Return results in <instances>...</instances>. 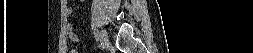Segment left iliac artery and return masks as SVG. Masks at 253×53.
<instances>
[{"instance_id": "obj_1", "label": "left iliac artery", "mask_w": 253, "mask_h": 53, "mask_svg": "<svg viewBox=\"0 0 253 53\" xmlns=\"http://www.w3.org/2000/svg\"><path fill=\"white\" fill-rule=\"evenodd\" d=\"M93 42L97 43L98 46L102 45V42L100 41V33L99 32L93 33Z\"/></svg>"}]
</instances>
